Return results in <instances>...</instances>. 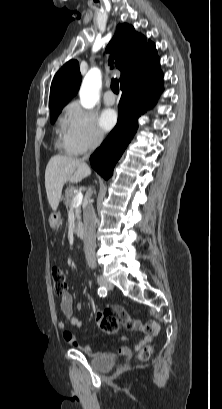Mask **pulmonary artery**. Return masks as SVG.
I'll return each instance as SVG.
<instances>
[{"instance_id": "obj_1", "label": "pulmonary artery", "mask_w": 222, "mask_h": 409, "mask_svg": "<svg viewBox=\"0 0 222 409\" xmlns=\"http://www.w3.org/2000/svg\"><path fill=\"white\" fill-rule=\"evenodd\" d=\"M116 102L115 95L111 90H107L106 93L104 94V103L106 105H114Z\"/></svg>"}]
</instances>
